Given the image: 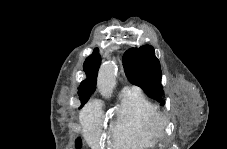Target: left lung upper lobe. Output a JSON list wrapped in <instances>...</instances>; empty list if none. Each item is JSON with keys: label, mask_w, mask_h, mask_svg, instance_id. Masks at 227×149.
Masks as SVG:
<instances>
[{"label": "left lung upper lobe", "mask_w": 227, "mask_h": 149, "mask_svg": "<svg viewBox=\"0 0 227 149\" xmlns=\"http://www.w3.org/2000/svg\"><path fill=\"white\" fill-rule=\"evenodd\" d=\"M123 64L125 74L132 84L141 87L149 97L161 104L165 103L160 62L152 46L144 45L127 50L123 56Z\"/></svg>", "instance_id": "left-lung-upper-lobe-1"}]
</instances>
